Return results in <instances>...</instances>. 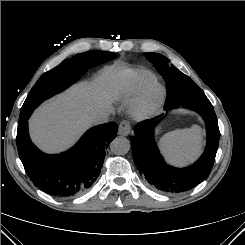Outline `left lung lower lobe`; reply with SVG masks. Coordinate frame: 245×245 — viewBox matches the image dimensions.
Here are the masks:
<instances>
[{"label": "left lung lower lobe", "instance_id": "0a47b994", "mask_svg": "<svg viewBox=\"0 0 245 245\" xmlns=\"http://www.w3.org/2000/svg\"><path fill=\"white\" fill-rule=\"evenodd\" d=\"M198 99L206 100L204 93L196 92ZM198 112L206 124L207 144L201 158L192 166L186 168H174L167 165L159 153L154 141V126L159 120H146L138 123L134 128L135 135L131 137V147L134 162L145 179L155 188L166 193H180L187 191L203 180L212 170L218 149L220 131L218 121L212 105H178Z\"/></svg>", "mask_w": 245, "mask_h": 245}]
</instances>
